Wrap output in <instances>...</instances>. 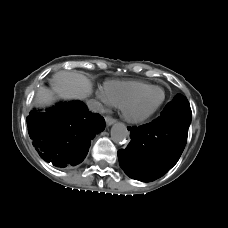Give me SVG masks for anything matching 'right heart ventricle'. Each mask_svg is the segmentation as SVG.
<instances>
[{"mask_svg": "<svg viewBox=\"0 0 228 228\" xmlns=\"http://www.w3.org/2000/svg\"><path fill=\"white\" fill-rule=\"evenodd\" d=\"M149 86L142 81H107L103 85V94L108 104L121 107L126 100Z\"/></svg>", "mask_w": 228, "mask_h": 228, "instance_id": "obj_1", "label": "right heart ventricle"}]
</instances>
